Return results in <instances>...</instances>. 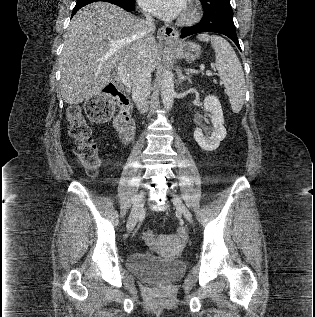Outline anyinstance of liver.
<instances>
[{
    "label": "liver",
    "mask_w": 315,
    "mask_h": 317,
    "mask_svg": "<svg viewBox=\"0 0 315 317\" xmlns=\"http://www.w3.org/2000/svg\"><path fill=\"white\" fill-rule=\"evenodd\" d=\"M141 21L105 2L87 5L74 15L61 55L60 90L67 104L78 105L99 94L113 69L123 67L131 81L145 66L155 70L160 47L154 37L144 40Z\"/></svg>",
    "instance_id": "liver-1"
}]
</instances>
